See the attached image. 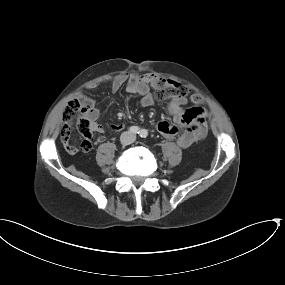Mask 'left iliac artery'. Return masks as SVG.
Masks as SVG:
<instances>
[{
  "instance_id": "left-iliac-artery-1",
  "label": "left iliac artery",
  "mask_w": 285,
  "mask_h": 285,
  "mask_svg": "<svg viewBox=\"0 0 285 285\" xmlns=\"http://www.w3.org/2000/svg\"><path fill=\"white\" fill-rule=\"evenodd\" d=\"M140 137L146 138L148 136V132L145 129L140 130L139 132Z\"/></svg>"
}]
</instances>
